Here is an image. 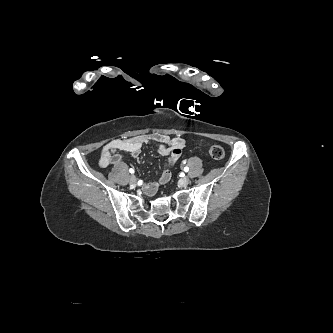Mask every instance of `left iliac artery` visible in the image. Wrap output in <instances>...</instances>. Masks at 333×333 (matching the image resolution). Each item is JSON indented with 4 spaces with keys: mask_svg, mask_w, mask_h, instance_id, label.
I'll return each mask as SVG.
<instances>
[{
    "mask_svg": "<svg viewBox=\"0 0 333 333\" xmlns=\"http://www.w3.org/2000/svg\"><path fill=\"white\" fill-rule=\"evenodd\" d=\"M184 171H185V172H188V171H189V167L186 166V167L184 168Z\"/></svg>",
    "mask_w": 333,
    "mask_h": 333,
    "instance_id": "44dca946",
    "label": "left iliac artery"
}]
</instances>
